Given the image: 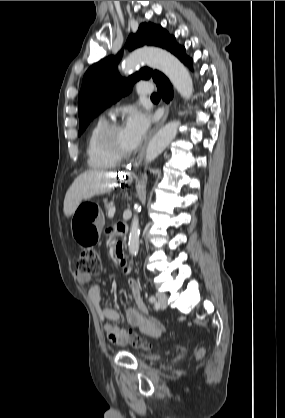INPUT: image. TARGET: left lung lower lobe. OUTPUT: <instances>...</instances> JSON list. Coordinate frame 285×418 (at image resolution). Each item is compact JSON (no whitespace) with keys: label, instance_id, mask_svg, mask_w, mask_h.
I'll list each match as a JSON object with an SVG mask.
<instances>
[{"label":"left lung lower lobe","instance_id":"1","mask_svg":"<svg viewBox=\"0 0 285 418\" xmlns=\"http://www.w3.org/2000/svg\"><path fill=\"white\" fill-rule=\"evenodd\" d=\"M169 51L178 57L184 64L192 68V59L186 55L183 46H180L175 41L169 48ZM155 83L162 99L168 103L173 97V88L169 80L161 73Z\"/></svg>","mask_w":285,"mask_h":418}]
</instances>
